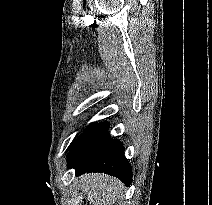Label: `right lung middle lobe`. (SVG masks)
Listing matches in <instances>:
<instances>
[{
    "label": "right lung middle lobe",
    "instance_id": "right-lung-middle-lobe-1",
    "mask_svg": "<svg viewBox=\"0 0 212 205\" xmlns=\"http://www.w3.org/2000/svg\"><path fill=\"white\" fill-rule=\"evenodd\" d=\"M72 143H73V142H72ZM72 143L70 144V146L72 145ZM70 146H69V148H70ZM69 148H68V149H69Z\"/></svg>",
    "mask_w": 212,
    "mask_h": 205
}]
</instances>
